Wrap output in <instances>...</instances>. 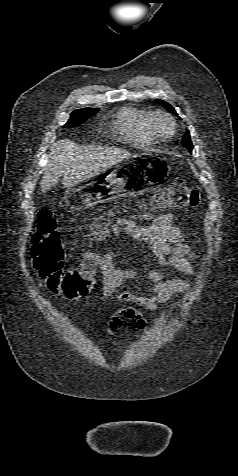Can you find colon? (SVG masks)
<instances>
[{
    "mask_svg": "<svg viewBox=\"0 0 238 476\" xmlns=\"http://www.w3.org/2000/svg\"><path fill=\"white\" fill-rule=\"evenodd\" d=\"M199 202L200 195L196 189L190 187L183 179H175L152 199L151 206L156 210L170 207L190 208L197 206ZM106 226L107 219L101 217L93 224L92 232L101 233ZM31 252L35 269L51 290L74 293L93 286L94 268H64L65 251L57 222L47 209H41L37 214ZM123 313L134 320L137 328H144L145 321L139 314L131 309ZM114 323L118 325L120 320L115 318Z\"/></svg>",
    "mask_w": 238,
    "mask_h": 476,
    "instance_id": "1",
    "label": "colon"
}]
</instances>
